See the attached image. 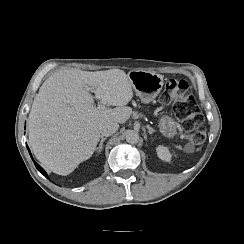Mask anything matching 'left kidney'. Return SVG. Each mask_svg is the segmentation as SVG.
<instances>
[{
  "label": "left kidney",
  "mask_w": 244,
  "mask_h": 244,
  "mask_svg": "<svg viewBox=\"0 0 244 244\" xmlns=\"http://www.w3.org/2000/svg\"><path fill=\"white\" fill-rule=\"evenodd\" d=\"M157 155L160 159L169 161L171 158L170 153L165 147H158L157 148Z\"/></svg>",
  "instance_id": "5707ae66"
}]
</instances>
